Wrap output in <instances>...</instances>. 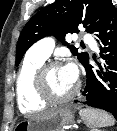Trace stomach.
I'll use <instances>...</instances> for the list:
<instances>
[{
    "label": "stomach",
    "instance_id": "obj_1",
    "mask_svg": "<svg viewBox=\"0 0 117 131\" xmlns=\"http://www.w3.org/2000/svg\"><path fill=\"white\" fill-rule=\"evenodd\" d=\"M74 122L70 106H62L53 112L39 117L23 120L15 126L16 131H63V127Z\"/></svg>",
    "mask_w": 117,
    "mask_h": 131
}]
</instances>
